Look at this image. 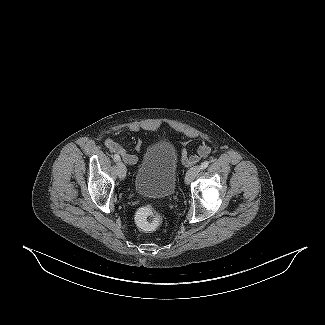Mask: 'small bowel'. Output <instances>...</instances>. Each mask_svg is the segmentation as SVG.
<instances>
[{
	"instance_id": "1",
	"label": "small bowel",
	"mask_w": 325,
	"mask_h": 325,
	"mask_svg": "<svg viewBox=\"0 0 325 325\" xmlns=\"http://www.w3.org/2000/svg\"><path fill=\"white\" fill-rule=\"evenodd\" d=\"M105 147L112 153L120 155L123 160L129 164L134 165L138 161V157L135 154L128 153L124 148L113 139H106L104 142ZM142 147V142L138 141L136 144V149L139 151ZM210 152L209 147L203 145L199 148L197 154L188 155L185 149L182 150V159L186 165H192L198 162L201 158L207 156Z\"/></svg>"
}]
</instances>
